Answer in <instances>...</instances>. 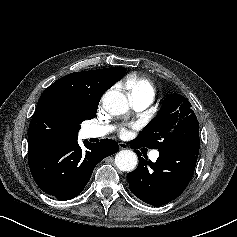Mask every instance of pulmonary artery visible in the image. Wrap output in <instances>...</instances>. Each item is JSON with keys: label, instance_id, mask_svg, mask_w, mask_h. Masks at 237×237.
Segmentation results:
<instances>
[{"label": "pulmonary artery", "instance_id": "obj_1", "mask_svg": "<svg viewBox=\"0 0 237 237\" xmlns=\"http://www.w3.org/2000/svg\"><path fill=\"white\" fill-rule=\"evenodd\" d=\"M133 106L136 110H144L146 109L150 104L151 101L148 99H141V100H137L132 102ZM113 130V127L111 126H97V125H92L89 126L87 129V135L88 137H104L106 135H108L109 133H111ZM158 152H153L151 154V159L155 160L158 157Z\"/></svg>", "mask_w": 237, "mask_h": 237}]
</instances>
